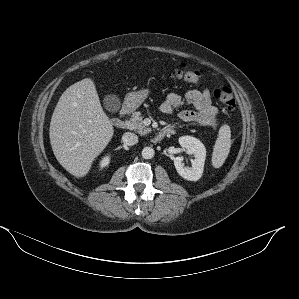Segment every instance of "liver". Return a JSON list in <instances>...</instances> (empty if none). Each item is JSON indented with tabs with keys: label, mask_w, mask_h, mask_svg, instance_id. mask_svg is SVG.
<instances>
[{
	"label": "liver",
	"mask_w": 299,
	"mask_h": 299,
	"mask_svg": "<svg viewBox=\"0 0 299 299\" xmlns=\"http://www.w3.org/2000/svg\"><path fill=\"white\" fill-rule=\"evenodd\" d=\"M113 134L92 79L85 78L64 91L49 130L53 153L64 169L75 177H84Z\"/></svg>",
	"instance_id": "obj_1"
}]
</instances>
